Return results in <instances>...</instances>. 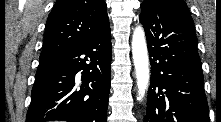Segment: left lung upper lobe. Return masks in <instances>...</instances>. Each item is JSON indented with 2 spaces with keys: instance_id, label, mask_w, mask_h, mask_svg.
<instances>
[{
  "instance_id": "1",
  "label": "left lung upper lobe",
  "mask_w": 221,
  "mask_h": 122,
  "mask_svg": "<svg viewBox=\"0 0 221 122\" xmlns=\"http://www.w3.org/2000/svg\"><path fill=\"white\" fill-rule=\"evenodd\" d=\"M172 2H181L185 7H187L186 3L183 0H167Z\"/></svg>"
}]
</instances>
